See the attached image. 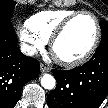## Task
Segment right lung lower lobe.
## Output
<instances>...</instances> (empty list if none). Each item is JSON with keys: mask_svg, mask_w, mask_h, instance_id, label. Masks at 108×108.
I'll list each match as a JSON object with an SVG mask.
<instances>
[{"mask_svg": "<svg viewBox=\"0 0 108 108\" xmlns=\"http://www.w3.org/2000/svg\"><path fill=\"white\" fill-rule=\"evenodd\" d=\"M39 72L38 61L17 48L12 24L0 23V108H13L24 84L35 79Z\"/></svg>", "mask_w": 108, "mask_h": 108, "instance_id": "1", "label": "right lung lower lobe"}]
</instances>
